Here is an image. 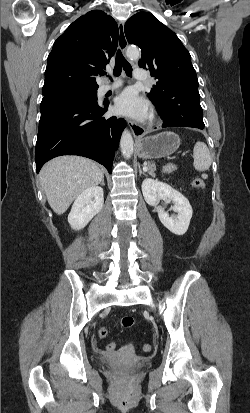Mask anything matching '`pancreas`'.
I'll return each instance as SVG.
<instances>
[{"mask_svg":"<svg viewBox=\"0 0 250 413\" xmlns=\"http://www.w3.org/2000/svg\"><path fill=\"white\" fill-rule=\"evenodd\" d=\"M175 169V167L174 166H172V165H167V166H165L164 168H163V171L165 172V173H169V172H172L173 170ZM155 170H156V166H155V163H148V173L150 174V175H152V176H155Z\"/></svg>","mask_w":250,"mask_h":413,"instance_id":"obj_1","label":"pancreas"}]
</instances>
